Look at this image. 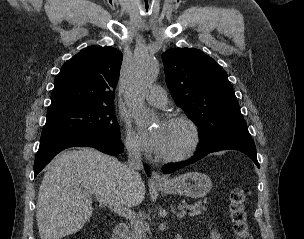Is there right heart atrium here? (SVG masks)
Masks as SVG:
<instances>
[{"label":"right heart atrium","instance_id":"1","mask_svg":"<svg viewBox=\"0 0 304 239\" xmlns=\"http://www.w3.org/2000/svg\"><path fill=\"white\" fill-rule=\"evenodd\" d=\"M125 144L130 153L134 155L141 154L142 146L140 144V141L129 125L126 127Z\"/></svg>","mask_w":304,"mask_h":239}]
</instances>
